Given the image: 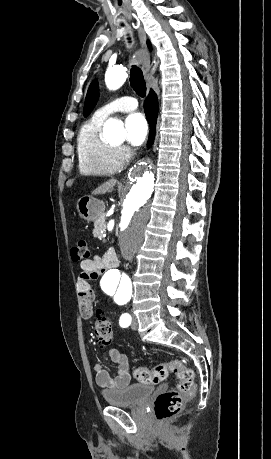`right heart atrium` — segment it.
Here are the masks:
<instances>
[{
	"instance_id": "d8ad5b80",
	"label": "right heart atrium",
	"mask_w": 271,
	"mask_h": 459,
	"mask_svg": "<svg viewBox=\"0 0 271 459\" xmlns=\"http://www.w3.org/2000/svg\"><path fill=\"white\" fill-rule=\"evenodd\" d=\"M116 154L121 161H127L131 157V150L124 145L116 147Z\"/></svg>"
}]
</instances>
